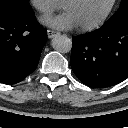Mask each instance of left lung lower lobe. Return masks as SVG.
Masks as SVG:
<instances>
[{
  "label": "left lung lower lobe",
  "mask_w": 128,
  "mask_h": 128,
  "mask_svg": "<svg viewBox=\"0 0 128 128\" xmlns=\"http://www.w3.org/2000/svg\"><path fill=\"white\" fill-rule=\"evenodd\" d=\"M72 44L71 67L84 84L104 88L128 78V15L73 37Z\"/></svg>",
  "instance_id": "0a47b994"
}]
</instances>
